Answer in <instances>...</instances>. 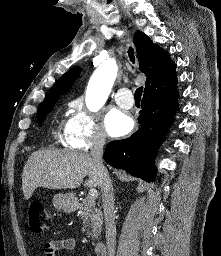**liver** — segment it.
I'll return each mask as SVG.
<instances>
[{
    "label": "liver",
    "instance_id": "obj_1",
    "mask_svg": "<svg viewBox=\"0 0 221 256\" xmlns=\"http://www.w3.org/2000/svg\"><path fill=\"white\" fill-rule=\"evenodd\" d=\"M88 175L85 186H101L100 172L87 153L39 150L28 158L22 172V189L29 200L38 187L48 189H75Z\"/></svg>",
    "mask_w": 221,
    "mask_h": 256
}]
</instances>
